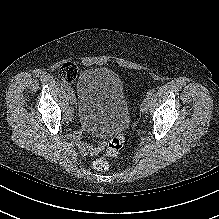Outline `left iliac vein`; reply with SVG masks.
<instances>
[{
	"mask_svg": "<svg viewBox=\"0 0 219 219\" xmlns=\"http://www.w3.org/2000/svg\"><path fill=\"white\" fill-rule=\"evenodd\" d=\"M148 107H149V99L144 98L140 108L141 113L146 114L148 111Z\"/></svg>",
	"mask_w": 219,
	"mask_h": 219,
	"instance_id": "obj_1",
	"label": "left iliac vein"
}]
</instances>
